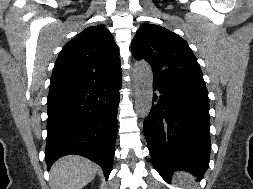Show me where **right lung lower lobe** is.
<instances>
[{
    "label": "right lung lower lobe",
    "instance_id": "1",
    "mask_svg": "<svg viewBox=\"0 0 253 189\" xmlns=\"http://www.w3.org/2000/svg\"><path fill=\"white\" fill-rule=\"evenodd\" d=\"M121 75L96 84L49 89L45 158L48 170L60 157L78 154L112 170L118 129Z\"/></svg>",
    "mask_w": 253,
    "mask_h": 189
}]
</instances>
